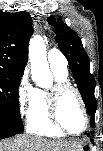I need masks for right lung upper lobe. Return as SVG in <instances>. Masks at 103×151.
<instances>
[{
	"label": "right lung upper lobe",
	"instance_id": "right-lung-upper-lobe-1",
	"mask_svg": "<svg viewBox=\"0 0 103 151\" xmlns=\"http://www.w3.org/2000/svg\"><path fill=\"white\" fill-rule=\"evenodd\" d=\"M32 33L28 12L0 11V68L23 74Z\"/></svg>",
	"mask_w": 103,
	"mask_h": 151
}]
</instances>
